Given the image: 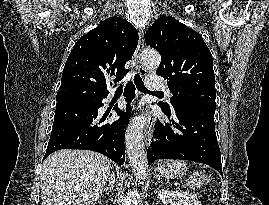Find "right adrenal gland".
<instances>
[{
	"mask_svg": "<svg viewBox=\"0 0 269 205\" xmlns=\"http://www.w3.org/2000/svg\"><path fill=\"white\" fill-rule=\"evenodd\" d=\"M108 182H109V185L106 186V187L103 189V191H108V192H110V191L113 190V188H114V183H115V176H114L113 173H111Z\"/></svg>",
	"mask_w": 269,
	"mask_h": 205,
	"instance_id": "2a0ac1e0",
	"label": "right adrenal gland"
}]
</instances>
